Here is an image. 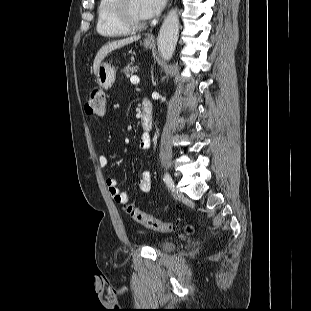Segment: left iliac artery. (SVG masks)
<instances>
[{"label": "left iliac artery", "instance_id": "1", "mask_svg": "<svg viewBox=\"0 0 311 311\" xmlns=\"http://www.w3.org/2000/svg\"><path fill=\"white\" fill-rule=\"evenodd\" d=\"M164 182L166 183V185H167L170 189L174 188L173 180H172L171 176H170L168 173H166V174L164 175Z\"/></svg>", "mask_w": 311, "mask_h": 311}]
</instances>
